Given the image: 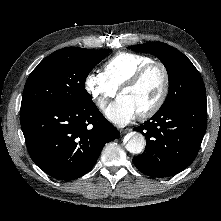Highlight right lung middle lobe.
I'll list each match as a JSON object with an SVG mask.
<instances>
[{"mask_svg":"<svg viewBox=\"0 0 221 221\" xmlns=\"http://www.w3.org/2000/svg\"><path fill=\"white\" fill-rule=\"evenodd\" d=\"M111 49L67 47L55 51L31 72L21 105H82L92 102L84 81Z\"/></svg>","mask_w":221,"mask_h":221,"instance_id":"dd1d6c3e","label":"right lung middle lobe"}]
</instances>
